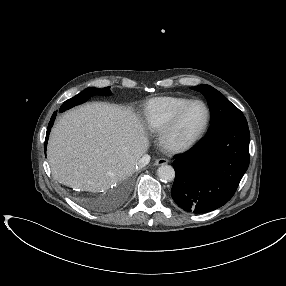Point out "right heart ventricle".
Instances as JSON below:
<instances>
[{
    "mask_svg": "<svg viewBox=\"0 0 286 286\" xmlns=\"http://www.w3.org/2000/svg\"><path fill=\"white\" fill-rule=\"evenodd\" d=\"M192 100L185 97L162 96L146 102L143 108V120L146 129L159 133L175 115Z\"/></svg>",
    "mask_w": 286,
    "mask_h": 286,
    "instance_id": "right-heart-ventricle-1",
    "label": "right heart ventricle"
}]
</instances>
